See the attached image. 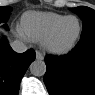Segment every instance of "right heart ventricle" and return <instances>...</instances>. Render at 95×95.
<instances>
[{"label":"right heart ventricle","mask_w":95,"mask_h":95,"mask_svg":"<svg viewBox=\"0 0 95 95\" xmlns=\"http://www.w3.org/2000/svg\"><path fill=\"white\" fill-rule=\"evenodd\" d=\"M64 17L53 12L29 11L23 14L20 28L28 39L39 42Z\"/></svg>","instance_id":"1"}]
</instances>
